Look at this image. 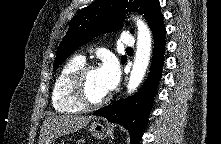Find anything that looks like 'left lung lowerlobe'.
I'll return each instance as SVG.
<instances>
[{"instance_id":"0a47b994","label":"left lung lower lobe","mask_w":221,"mask_h":144,"mask_svg":"<svg viewBox=\"0 0 221 144\" xmlns=\"http://www.w3.org/2000/svg\"><path fill=\"white\" fill-rule=\"evenodd\" d=\"M151 31L154 38L152 63L148 78L141 89L134 96L120 99L93 113L128 129L133 144L140 143L148 122L153 98L157 94V85L161 79L165 50L163 16L157 20Z\"/></svg>"}]
</instances>
